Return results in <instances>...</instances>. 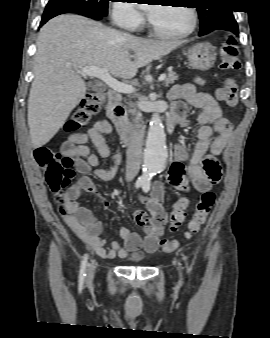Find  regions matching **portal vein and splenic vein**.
Returning <instances> with one entry per match:
<instances>
[{"instance_id":"obj_1","label":"portal vein and splenic vein","mask_w":270,"mask_h":338,"mask_svg":"<svg viewBox=\"0 0 270 338\" xmlns=\"http://www.w3.org/2000/svg\"><path fill=\"white\" fill-rule=\"evenodd\" d=\"M79 73L82 75H87L90 77H96L102 81H104L110 88H112L114 91L119 93H126L131 94L135 91V88L132 85L121 83L114 79L108 72L106 68H100V67H83L81 70H79ZM166 78V74H161L158 78V81H164Z\"/></svg>"}]
</instances>
